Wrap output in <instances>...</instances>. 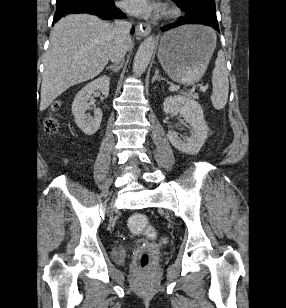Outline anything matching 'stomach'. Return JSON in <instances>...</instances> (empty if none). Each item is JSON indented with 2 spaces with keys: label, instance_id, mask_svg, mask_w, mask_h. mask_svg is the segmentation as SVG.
Wrapping results in <instances>:
<instances>
[{
  "label": "stomach",
  "instance_id": "1",
  "mask_svg": "<svg viewBox=\"0 0 286 308\" xmlns=\"http://www.w3.org/2000/svg\"><path fill=\"white\" fill-rule=\"evenodd\" d=\"M215 32L203 25H184L165 33L158 58L166 73L176 82H198L216 47Z\"/></svg>",
  "mask_w": 286,
  "mask_h": 308
}]
</instances>
